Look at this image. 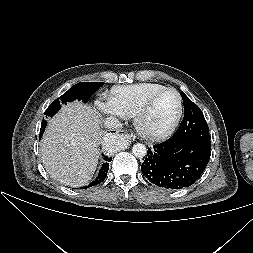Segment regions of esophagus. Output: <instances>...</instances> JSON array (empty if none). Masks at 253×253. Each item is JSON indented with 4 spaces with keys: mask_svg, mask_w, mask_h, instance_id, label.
<instances>
[{
    "mask_svg": "<svg viewBox=\"0 0 253 253\" xmlns=\"http://www.w3.org/2000/svg\"><path fill=\"white\" fill-rule=\"evenodd\" d=\"M116 134H118V135H120V136H125V137H127V138H131V137H132L130 134L125 133V131H123V130H117V131H116Z\"/></svg>",
    "mask_w": 253,
    "mask_h": 253,
    "instance_id": "1",
    "label": "esophagus"
}]
</instances>
